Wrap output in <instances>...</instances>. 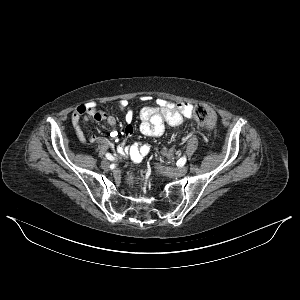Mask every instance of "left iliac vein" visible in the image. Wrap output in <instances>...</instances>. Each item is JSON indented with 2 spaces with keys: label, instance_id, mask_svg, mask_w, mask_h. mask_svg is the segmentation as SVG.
Segmentation results:
<instances>
[{
  "label": "left iliac vein",
  "instance_id": "4c4485c4",
  "mask_svg": "<svg viewBox=\"0 0 300 300\" xmlns=\"http://www.w3.org/2000/svg\"><path fill=\"white\" fill-rule=\"evenodd\" d=\"M157 169L169 177H182L188 171L187 167L169 168L162 165H157Z\"/></svg>",
  "mask_w": 300,
  "mask_h": 300
}]
</instances>
